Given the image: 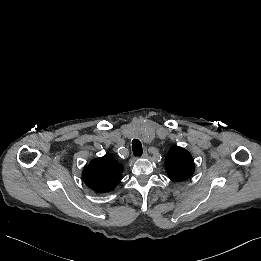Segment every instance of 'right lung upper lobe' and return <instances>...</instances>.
<instances>
[{"mask_svg":"<svg viewBox=\"0 0 261 261\" xmlns=\"http://www.w3.org/2000/svg\"><path fill=\"white\" fill-rule=\"evenodd\" d=\"M123 166L111 155L93 159L83 170L85 184L91 189L103 193L112 191L122 179Z\"/></svg>","mask_w":261,"mask_h":261,"instance_id":"obj_1","label":"right lung upper lobe"}]
</instances>
